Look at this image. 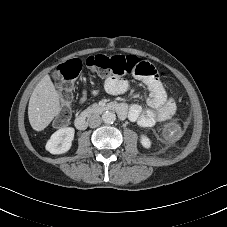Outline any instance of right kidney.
<instances>
[{"label": "right kidney", "instance_id": "1", "mask_svg": "<svg viewBox=\"0 0 227 227\" xmlns=\"http://www.w3.org/2000/svg\"><path fill=\"white\" fill-rule=\"evenodd\" d=\"M75 130L72 127L61 128L54 132L46 143V150L51 154L66 153L72 146Z\"/></svg>", "mask_w": 227, "mask_h": 227}]
</instances>
